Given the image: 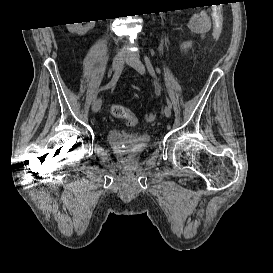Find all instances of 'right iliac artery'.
<instances>
[{
	"label": "right iliac artery",
	"mask_w": 273,
	"mask_h": 273,
	"mask_svg": "<svg viewBox=\"0 0 273 273\" xmlns=\"http://www.w3.org/2000/svg\"><path fill=\"white\" fill-rule=\"evenodd\" d=\"M122 69H123V66L119 69V71H117V72L114 74L112 80H111L107 85H105L104 87H102L101 90H106V89H109V88L115 86V84L117 83V81H118V79H119V77H120V75H121ZM97 94H98V93H96V95H95V97H94L93 104L95 103Z\"/></svg>",
	"instance_id": "obj_1"
}]
</instances>
